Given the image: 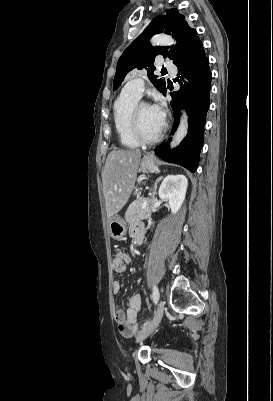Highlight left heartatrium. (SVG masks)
<instances>
[{"mask_svg":"<svg viewBox=\"0 0 273 401\" xmlns=\"http://www.w3.org/2000/svg\"><path fill=\"white\" fill-rule=\"evenodd\" d=\"M148 108L153 117L155 118V120L163 127L166 118V113L163 103L160 101H156L152 105H149Z\"/></svg>","mask_w":273,"mask_h":401,"instance_id":"1","label":"left heart atrium"}]
</instances>
